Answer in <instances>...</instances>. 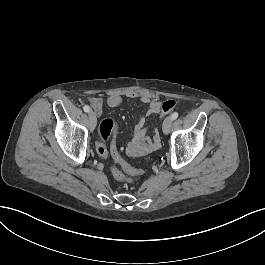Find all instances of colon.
<instances>
[{
	"label": "colon",
	"instance_id": "colon-1",
	"mask_svg": "<svg viewBox=\"0 0 265 265\" xmlns=\"http://www.w3.org/2000/svg\"><path fill=\"white\" fill-rule=\"evenodd\" d=\"M178 105H180V102L176 99H167L165 100L163 106H162V113L168 114L170 113L171 107L174 109H177ZM158 120H163V115H158ZM115 121L111 118H105L102 120L99 128V139L100 141L96 145L97 153L101 157H106L108 153V149L106 146V142L110 139L114 126ZM113 160L117 164L118 167L113 168V172L115 176L118 179H126V180H132L134 177L139 176L141 174V171L138 169H135L129 165L126 164L123 157L119 153L113 154Z\"/></svg>",
	"mask_w": 265,
	"mask_h": 265
}]
</instances>
